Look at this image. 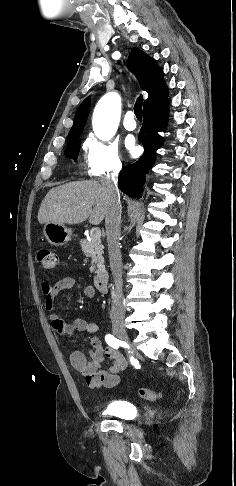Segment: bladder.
<instances>
[{"mask_svg":"<svg viewBox=\"0 0 236 486\" xmlns=\"http://www.w3.org/2000/svg\"><path fill=\"white\" fill-rule=\"evenodd\" d=\"M137 411V406L134 403L123 400L109 403L104 410L107 415L125 420L133 419Z\"/></svg>","mask_w":236,"mask_h":486,"instance_id":"obj_1","label":"bladder"}]
</instances>
